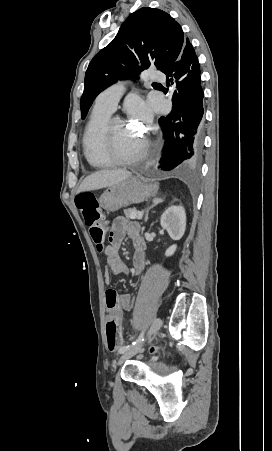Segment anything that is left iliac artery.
Wrapping results in <instances>:
<instances>
[{"mask_svg":"<svg viewBox=\"0 0 272 451\" xmlns=\"http://www.w3.org/2000/svg\"><path fill=\"white\" fill-rule=\"evenodd\" d=\"M144 331H142V333L139 335L138 339L133 342L131 345H127V346H123L122 348L119 349L120 353H125L127 352L129 349H131L132 347L136 346L137 344L141 343L142 341H144Z\"/></svg>","mask_w":272,"mask_h":451,"instance_id":"obj_1","label":"left iliac artery"}]
</instances>
